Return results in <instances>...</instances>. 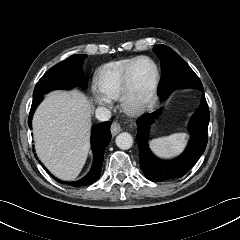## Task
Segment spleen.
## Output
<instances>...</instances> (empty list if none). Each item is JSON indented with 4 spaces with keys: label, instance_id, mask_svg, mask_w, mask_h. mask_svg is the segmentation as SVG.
<instances>
[{
    "label": "spleen",
    "instance_id": "1",
    "mask_svg": "<svg viewBox=\"0 0 240 240\" xmlns=\"http://www.w3.org/2000/svg\"><path fill=\"white\" fill-rule=\"evenodd\" d=\"M187 143L186 133H175L150 141L149 145L155 155L160 158H172L180 154Z\"/></svg>",
    "mask_w": 240,
    "mask_h": 240
}]
</instances>
